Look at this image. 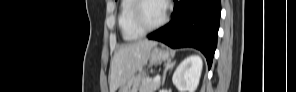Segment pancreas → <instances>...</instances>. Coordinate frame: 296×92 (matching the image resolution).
<instances>
[{
  "label": "pancreas",
  "mask_w": 296,
  "mask_h": 92,
  "mask_svg": "<svg viewBox=\"0 0 296 92\" xmlns=\"http://www.w3.org/2000/svg\"><path fill=\"white\" fill-rule=\"evenodd\" d=\"M159 87L160 82H154V80L146 77L142 81L139 92H155Z\"/></svg>",
  "instance_id": "1"
}]
</instances>
